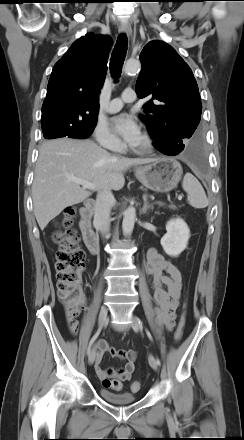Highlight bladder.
I'll return each mask as SVG.
<instances>
[{
  "instance_id": "1",
  "label": "bladder",
  "mask_w": 244,
  "mask_h": 440,
  "mask_svg": "<svg viewBox=\"0 0 244 440\" xmlns=\"http://www.w3.org/2000/svg\"><path fill=\"white\" fill-rule=\"evenodd\" d=\"M101 398L112 404H130L137 400V395L131 392H114L108 390L106 387L99 389Z\"/></svg>"
}]
</instances>
